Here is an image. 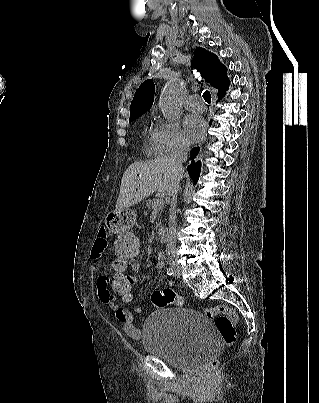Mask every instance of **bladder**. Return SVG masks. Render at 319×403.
Here are the masks:
<instances>
[{"mask_svg": "<svg viewBox=\"0 0 319 403\" xmlns=\"http://www.w3.org/2000/svg\"><path fill=\"white\" fill-rule=\"evenodd\" d=\"M146 351L171 366L192 371L220 349V340L204 313L175 308L153 311L143 327Z\"/></svg>", "mask_w": 319, "mask_h": 403, "instance_id": "bladder-1", "label": "bladder"}]
</instances>
